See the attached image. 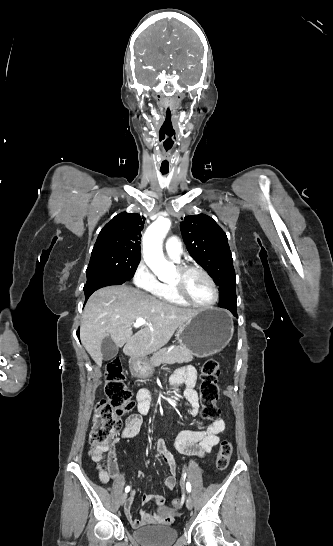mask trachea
Instances as JSON below:
<instances>
[{
	"label": "trachea",
	"mask_w": 333,
	"mask_h": 546,
	"mask_svg": "<svg viewBox=\"0 0 333 546\" xmlns=\"http://www.w3.org/2000/svg\"><path fill=\"white\" fill-rule=\"evenodd\" d=\"M162 174H163V175H164V174H167V172H162Z\"/></svg>",
	"instance_id": "trachea-1"
}]
</instances>
